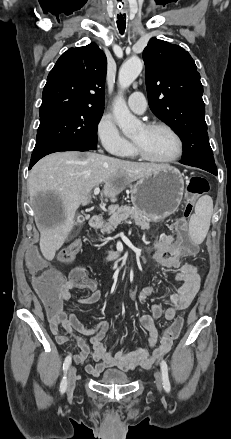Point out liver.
<instances>
[{"instance_id":"liver-1","label":"liver","mask_w":231,"mask_h":439,"mask_svg":"<svg viewBox=\"0 0 231 439\" xmlns=\"http://www.w3.org/2000/svg\"><path fill=\"white\" fill-rule=\"evenodd\" d=\"M165 166L74 151L50 154L37 162L28 179L31 200L51 194L59 202L52 215L35 217L44 258L53 260L73 229L77 209L89 203L94 188L104 183L103 195L114 203L126 186Z\"/></svg>"}]
</instances>
